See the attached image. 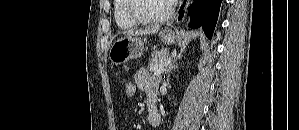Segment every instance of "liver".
Returning a JSON list of instances; mask_svg holds the SVG:
<instances>
[{
    "mask_svg": "<svg viewBox=\"0 0 299 130\" xmlns=\"http://www.w3.org/2000/svg\"><path fill=\"white\" fill-rule=\"evenodd\" d=\"M160 30L159 26H154L152 28H146L144 30H130L126 32L127 36H142V35H149V34H156Z\"/></svg>",
    "mask_w": 299,
    "mask_h": 130,
    "instance_id": "1",
    "label": "liver"
}]
</instances>
